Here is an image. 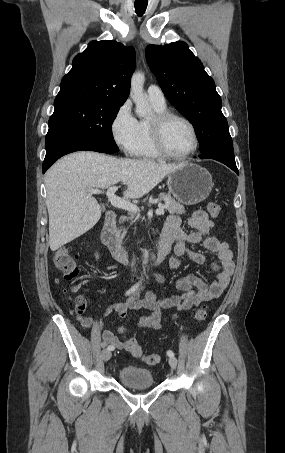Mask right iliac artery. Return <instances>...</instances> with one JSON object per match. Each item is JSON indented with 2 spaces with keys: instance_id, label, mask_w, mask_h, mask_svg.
<instances>
[{
  "instance_id": "1",
  "label": "right iliac artery",
  "mask_w": 285,
  "mask_h": 453,
  "mask_svg": "<svg viewBox=\"0 0 285 453\" xmlns=\"http://www.w3.org/2000/svg\"><path fill=\"white\" fill-rule=\"evenodd\" d=\"M138 286H139V283H137V284H135L134 286H132V287L126 292V295H129V294H131L132 292H134L135 290H137ZM102 346L104 347V346H106V344H105V343H102ZM107 349H109V350L112 351L114 348L111 347V346H108Z\"/></svg>"
}]
</instances>
